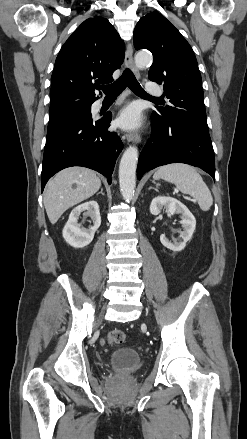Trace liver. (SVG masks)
I'll list each match as a JSON object with an SVG mask.
<instances>
[{
	"label": "liver",
	"mask_w": 247,
	"mask_h": 439,
	"mask_svg": "<svg viewBox=\"0 0 247 439\" xmlns=\"http://www.w3.org/2000/svg\"><path fill=\"white\" fill-rule=\"evenodd\" d=\"M100 186L96 173L85 167H69L57 173L48 182L43 199L51 224L67 209L93 196Z\"/></svg>",
	"instance_id": "1"
}]
</instances>
